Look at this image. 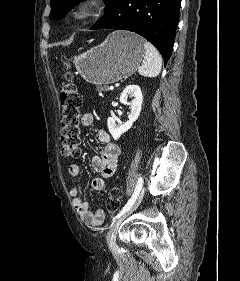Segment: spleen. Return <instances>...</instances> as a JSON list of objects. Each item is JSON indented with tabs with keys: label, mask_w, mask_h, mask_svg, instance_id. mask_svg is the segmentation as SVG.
Returning a JSON list of instances; mask_svg holds the SVG:
<instances>
[{
	"label": "spleen",
	"mask_w": 240,
	"mask_h": 281,
	"mask_svg": "<svg viewBox=\"0 0 240 281\" xmlns=\"http://www.w3.org/2000/svg\"><path fill=\"white\" fill-rule=\"evenodd\" d=\"M145 56L143 64L138 68L140 75L144 77H156L162 67V59L158 50L148 41L144 43Z\"/></svg>",
	"instance_id": "spleen-1"
}]
</instances>
